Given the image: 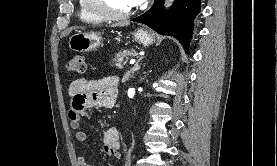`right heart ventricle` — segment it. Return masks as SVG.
<instances>
[{
    "instance_id": "right-heart-ventricle-1",
    "label": "right heart ventricle",
    "mask_w": 277,
    "mask_h": 166,
    "mask_svg": "<svg viewBox=\"0 0 277 166\" xmlns=\"http://www.w3.org/2000/svg\"><path fill=\"white\" fill-rule=\"evenodd\" d=\"M79 16H80V19L84 22H88V23H100V22H102V19L91 15L90 13H88L85 10V8L82 4V0H79Z\"/></svg>"
}]
</instances>
